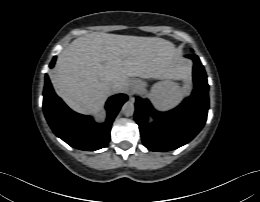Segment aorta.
<instances>
[{"label":"aorta","mask_w":260,"mask_h":202,"mask_svg":"<svg viewBox=\"0 0 260 202\" xmlns=\"http://www.w3.org/2000/svg\"><path fill=\"white\" fill-rule=\"evenodd\" d=\"M135 112V106L134 103L131 101H127L123 104L121 108V113L127 117L132 116Z\"/></svg>","instance_id":"obj_1"}]
</instances>
